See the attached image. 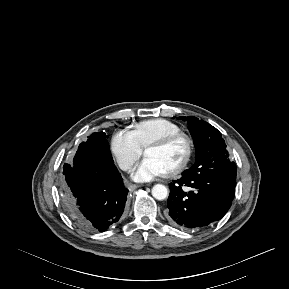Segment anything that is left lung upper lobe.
Here are the masks:
<instances>
[{"label": "left lung upper lobe", "mask_w": 289, "mask_h": 289, "mask_svg": "<svg viewBox=\"0 0 289 289\" xmlns=\"http://www.w3.org/2000/svg\"><path fill=\"white\" fill-rule=\"evenodd\" d=\"M177 119L188 122L196 149L195 164L182 174L190 176L218 172L236 180L237 168L228 158L229 154L221 133L209 123L196 117Z\"/></svg>", "instance_id": "1"}]
</instances>
